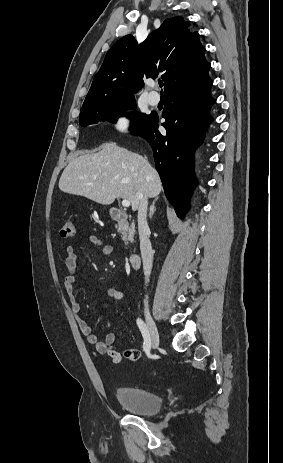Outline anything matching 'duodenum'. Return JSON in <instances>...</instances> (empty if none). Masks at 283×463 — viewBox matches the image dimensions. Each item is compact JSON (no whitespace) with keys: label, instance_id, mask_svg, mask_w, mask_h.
Here are the masks:
<instances>
[{"label":"duodenum","instance_id":"1","mask_svg":"<svg viewBox=\"0 0 283 463\" xmlns=\"http://www.w3.org/2000/svg\"><path fill=\"white\" fill-rule=\"evenodd\" d=\"M112 219L118 224L127 223V215L124 211L114 208L111 212ZM129 262L132 268L136 269L140 266V256L138 253L133 252L129 256Z\"/></svg>","mask_w":283,"mask_h":463}]
</instances>
